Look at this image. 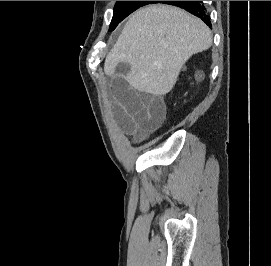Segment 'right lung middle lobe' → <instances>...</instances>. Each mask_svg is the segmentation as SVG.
Returning <instances> with one entry per match:
<instances>
[{
	"mask_svg": "<svg viewBox=\"0 0 271 266\" xmlns=\"http://www.w3.org/2000/svg\"><path fill=\"white\" fill-rule=\"evenodd\" d=\"M152 3H157V1H117L114 7V14L109 31H113L117 27L118 23L136 9Z\"/></svg>",
	"mask_w": 271,
	"mask_h": 266,
	"instance_id": "obj_1",
	"label": "right lung middle lobe"
}]
</instances>
